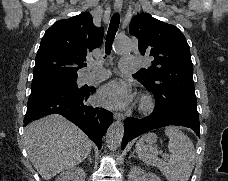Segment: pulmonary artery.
Instances as JSON below:
<instances>
[{
  "mask_svg": "<svg viewBox=\"0 0 228 181\" xmlns=\"http://www.w3.org/2000/svg\"><path fill=\"white\" fill-rule=\"evenodd\" d=\"M120 71H133V67H137V62L141 61L140 57H120ZM107 73V71H104ZM91 79H112V74H91L86 80Z\"/></svg>",
  "mask_w": 228,
  "mask_h": 181,
  "instance_id": "e3ab8cb5",
  "label": "pulmonary artery"
}]
</instances>
